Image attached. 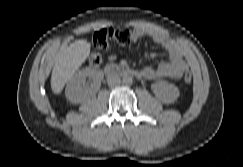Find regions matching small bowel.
I'll return each mask as SVG.
<instances>
[{
  "mask_svg": "<svg viewBox=\"0 0 243 167\" xmlns=\"http://www.w3.org/2000/svg\"><path fill=\"white\" fill-rule=\"evenodd\" d=\"M145 37L151 39L155 44L164 49L168 54L169 59L167 61H162L157 67H144L141 70L143 77L148 80L181 78L184 72L188 70V62L182 48L159 31L144 27H137L133 30V39L135 41ZM115 59V55L109 56L110 62L115 61Z\"/></svg>",
  "mask_w": 243,
  "mask_h": 167,
  "instance_id": "obj_1",
  "label": "small bowel"
}]
</instances>
